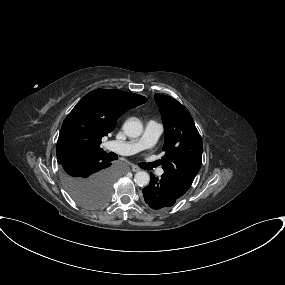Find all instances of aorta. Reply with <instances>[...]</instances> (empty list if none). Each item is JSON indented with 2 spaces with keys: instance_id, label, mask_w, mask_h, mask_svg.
Wrapping results in <instances>:
<instances>
[{
  "instance_id": "1",
  "label": "aorta",
  "mask_w": 285,
  "mask_h": 285,
  "mask_svg": "<svg viewBox=\"0 0 285 285\" xmlns=\"http://www.w3.org/2000/svg\"><path fill=\"white\" fill-rule=\"evenodd\" d=\"M123 131L130 138L139 137L143 132V125L137 118H129L123 125ZM134 181L138 186H147L150 181V176L145 171H139L134 176Z\"/></svg>"
}]
</instances>
